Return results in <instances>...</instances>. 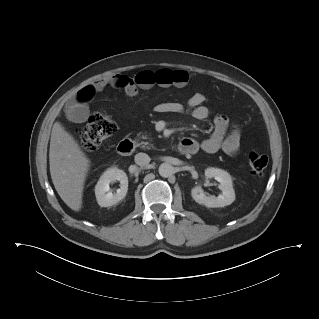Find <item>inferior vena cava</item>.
I'll return each mask as SVG.
<instances>
[{"label": "inferior vena cava", "instance_id": "obj_1", "mask_svg": "<svg viewBox=\"0 0 319 319\" xmlns=\"http://www.w3.org/2000/svg\"><path fill=\"white\" fill-rule=\"evenodd\" d=\"M135 163L139 166H146L150 162V157L146 153H138L135 155Z\"/></svg>", "mask_w": 319, "mask_h": 319}]
</instances>
